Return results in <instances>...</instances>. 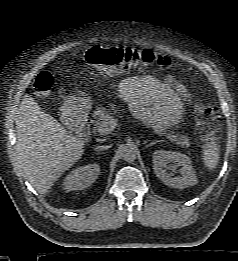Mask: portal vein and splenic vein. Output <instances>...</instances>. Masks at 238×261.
Instances as JSON below:
<instances>
[{"mask_svg": "<svg viewBox=\"0 0 238 261\" xmlns=\"http://www.w3.org/2000/svg\"><path fill=\"white\" fill-rule=\"evenodd\" d=\"M117 123H118V120L115 119L114 117L106 116L105 119L100 124L99 131L101 133H105V134L110 133L115 129Z\"/></svg>", "mask_w": 238, "mask_h": 261, "instance_id": "1", "label": "portal vein and splenic vein"}]
</instances>
